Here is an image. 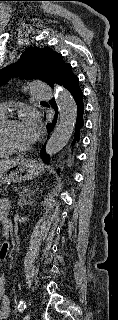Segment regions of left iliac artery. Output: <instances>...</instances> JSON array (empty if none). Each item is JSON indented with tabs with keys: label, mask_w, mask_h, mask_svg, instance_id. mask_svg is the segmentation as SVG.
I'll return each instance as SVG.
<instances>
[{
	"label": "left iliac artery",
	"mask_w": 118,
	"mask_h": 320,
	"mask_svg": "<svg viewBox=\"0 0 118 320\" xmlns=\"http://www.w3.org/2000/svg\"><path fill=\"white\" fill-rule=\"evenodd\" d=\"M26 307V302L23 299H21L18 305L19 311L23 313L26 310Z\"/></svg>",
	"instance_id": "1"
}]
</instances>
